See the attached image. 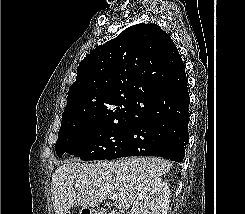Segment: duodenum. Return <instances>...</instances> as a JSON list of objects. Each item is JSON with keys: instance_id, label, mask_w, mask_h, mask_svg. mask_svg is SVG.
Segmentation results:
<instances>
[{"instance_id": "1", "label": "duodenum", "mask_w": 245, "mask_h": 214, "mask_svg": "<svg viewBox=\"0 0 245 214\" xmlns=\"http://www.w3.org/2000/svg\"><path fill=\"white\" fill-rule=\"evenodd\" d=\"M83 214H104V212L100 209H91V210H86V212Z\"/></svg>"}]
</instances>
